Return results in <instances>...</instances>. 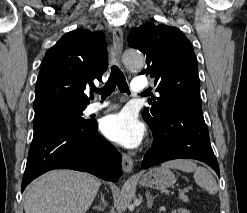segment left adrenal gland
<instances>
[{
    "label": "left adrenal gland",
    "instance_id": "1",
    "mask_svg": "<svg viewBox=\"0 0 247 213\" xmlns=\"http://www.w3.org/2000/svg\"><path fill=\"white\" fill-rule=\"evenodd\" d=\"M145 196L147 199V207L151 209L156 196H152L149 191H146Z\"/></svg>",
    "mask_w": 247,
    "mask_h": 213
}]
</instances>
